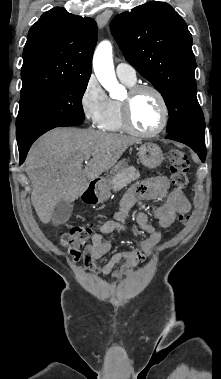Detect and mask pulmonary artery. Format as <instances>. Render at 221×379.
Masks as SVG:
<instances>
[{
    "label": "pulmonary artery",
    "instance_id": "obj_1",
    "mask_svg": "<svg viewBox=\"0 0 221 379\" xmlns=\"http://www.w3.org/2000/svg\"><path fill=\"white\" fill-rule=\"evenodd\" d=\"M116 74L120 80L130 83H135L136 81V71L134 67L128 63H119L116 67Z\"/></svg>",
    "mask_w": 221,
    "mask_h": 379
}]
</instances>
